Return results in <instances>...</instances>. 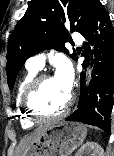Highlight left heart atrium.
Listing matches in <instances>:
<instances>
[{
    "instance_id": "1",
    "label": "left heart atrium",
    "mask_w": 114,
    "mask_h": 156,
    "mask_svg": "<svg viewBox=\"0 0 114 156\" xmlns=\"http://www.w3.org/2000/svg\"><path fill=\"white\" fill-rule=\"evenodd\" d=\"M54 79L65 93H70L73 84V69L69 61L61 60L57 64Z\"/></svg>"
}]
</instances>
